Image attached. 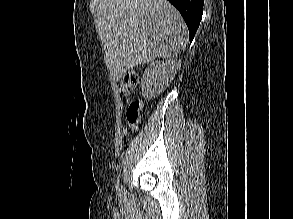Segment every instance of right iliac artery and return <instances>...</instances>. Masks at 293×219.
<instances>
[{
	"mask_svg": "<svg viewBox=\"0 0 293 219\" xmlns=\"http://www.w3.org/2000/svg\"><path fill=\"white\" fill-rule=\"evenodd\" d=\"M116 190L118 191V193L121 195L122 194V187L120 186V184H119V180H118V182H117V184H116Z\"/></svg>",
	"mask_w": 293,
	"mask_h": 219,
	"instance_id": "obj_1",
	"label": "right iliac artery"
}]
</instances>
